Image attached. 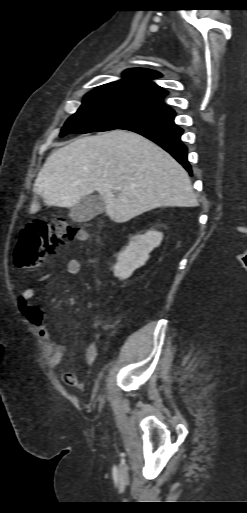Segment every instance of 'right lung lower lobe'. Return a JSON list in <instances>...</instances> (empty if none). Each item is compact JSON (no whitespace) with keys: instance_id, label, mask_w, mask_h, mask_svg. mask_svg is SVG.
<instances>
[{"instance_id":"98d812e1","label":"right lung lower lobe","mask_w":247,"mask_h":513,"mask_svg":"<svg viewBox=\"0 0 247 513\" xmlns=\"http://www.w3.org/2000/svg\"><path fill=\"white\" fill-rule=\"evenodd\" d=\"M174 117L173 111L127 124L121 129L136 132L152 140L169 152L191 174V166L187 161V147L180 139L183 129L174 123Z\"/></svg>"}]
</instances>
